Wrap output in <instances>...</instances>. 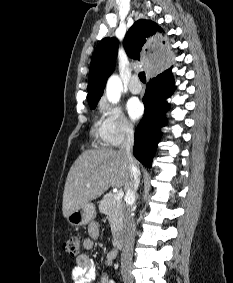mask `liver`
Wrapping results in <instances>:
<instances>
[{
  "label": "liver",
  "instance_id": "liver-1",
  "mask_svg": "<svg viewBox=\"0 0 233 283\" xmlns=\"http://www.w3.org/2000/svg\"><path fill=\"white\" fill-rule=\"evenodd\" d=\"M131 167L126 155L109 149L86 150L71 166L63 193L62 212H71L112 187L128 188Z\"/></svg>",
  "mask_w": 233,
  "mask_h": 283
}]
</instances>
